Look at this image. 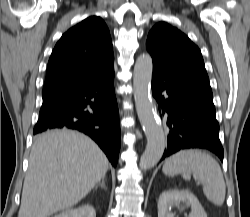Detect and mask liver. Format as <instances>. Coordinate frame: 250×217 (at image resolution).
<instances>
[{
	"label": "liver",
	"mask_w": 250,
	"mask_h": 217,
	"mask_svg": "<svg viewBox=\"0 0 250 217\" xmlns=\"http://www.w3.org/2000/svg\"><path fill=\"white\" fill-rule=\"evenodd\" d=\"M108 160L90 138L62 129L32 147L18 217H49L80 202L104 178Z\"/></svg>",
	"instance_id": "obj_1"
}]
</instances>
